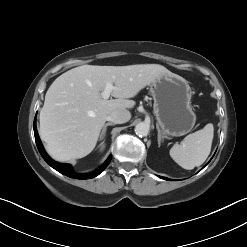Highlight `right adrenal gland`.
I'll use <instances>...</instances> for the list:
<instances>
[{
  "instance_id": "obj_1",
  "label": "right adrenal gland",
  "mask_w": 247,
  "mask_h": 247,
  "mask_svg": "<svg viewBox=\"0 0 247 247\" xmlns=\"http://www.w3.org/2000/svg\"><path fill=\"white\" fill-rule=\"evenodd\" d=\"M114 125H115V124H114V123H111V122L106 123V124L104 125L103 129H102L101 134H100V139H103V138H104V136H105V134H106L107 127H108V126H114Z\"/></svg>"
}]
</instances>
